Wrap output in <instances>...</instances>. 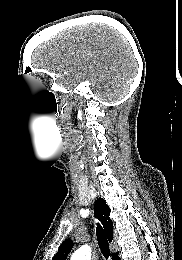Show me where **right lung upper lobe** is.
<instances>
[{"label":"right lung upper lobe","mask_w":182,"mask_h":260,"mask_svg":"<svg viewBox=\"0 0 182 260\" xmlns=\"http://www.w3.org/2000/svg\"><path fill=\"white\" fill-rule=\"evenodd\" d=\"M109 214H110V208L108 207L104 199L99 198L95 202V217H97L103 224L105 232L108 236V240L109 242H111L113 239V222L109 218ZM72 247H73V242L71 240L64 241L60 245L58 252L55 254L52 260H66Z\"/></svg>","instance_id":"right-lung-upper-lobe-1"}]
</instances>
